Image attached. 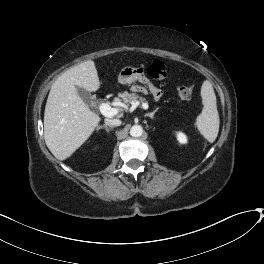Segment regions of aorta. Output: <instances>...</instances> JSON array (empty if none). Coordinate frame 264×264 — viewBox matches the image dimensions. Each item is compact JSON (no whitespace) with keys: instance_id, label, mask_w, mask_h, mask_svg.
<instances>
[{"instance_id":"1","label":"aorta","mask_w":264,"mask_h":264,"mask_svg":"<svg viewBox=\"0 0 264 264\" xmlns=\"http://www.w3.org/2000/svg\"><path fill=\"white\" fill-rule=\"evenodd\" d=\"M143 133V128L141 125H133L130 129V135L132 137H140Z\"/></svg>"}]
</instances>
